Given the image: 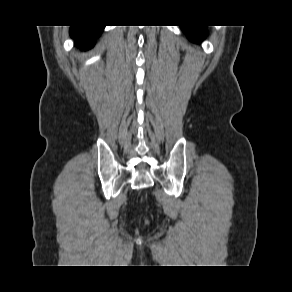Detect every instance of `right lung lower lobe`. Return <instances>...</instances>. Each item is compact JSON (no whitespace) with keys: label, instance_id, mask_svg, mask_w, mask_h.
<instances>
[{"label":"right lung lower lobe","instance_id":"right-lung-lower-lobe-1","mask_svg":"<svg viewBox=\"0 0 292 292\" xmlns=\"http://www.w3.org/2000/svg\"><path fill=\"white\" fill-rule=\"evenodd\" d=\"M104 26H72L70 35L75 40V46L85 49L95 45V39L99 37Z\"/></svg>","mask_w":292,"mask_h":292}]
</instances>
